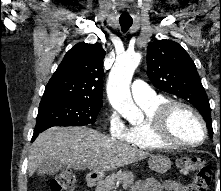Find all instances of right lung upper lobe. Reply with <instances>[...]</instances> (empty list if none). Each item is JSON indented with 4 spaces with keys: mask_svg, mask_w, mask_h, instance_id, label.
Here are the masks:
<instances>
[{
    "mask_svg": "<svg viewBox=\"0 0 221 191\" xmlns=\"http://www.w3.org/2000/svg\"><path fill=\"white\" fill-rule=\"evenodd\" d=\"M105 54L100 43L76 44L49 80L40 104L75 100L102 102Z\"/></svg>",
    "mask_w": 221,
    "mask_h": 191,
    "instance_id": "cb5924a9",
    "label": "right lung upper lobe"
}]
</instances>
